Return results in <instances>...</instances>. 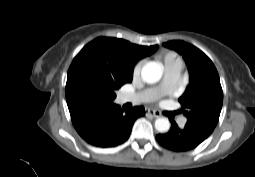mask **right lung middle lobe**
Instances as JSON below:
<instances>
[{"label": "right lung middle lobe", "mask_w": 255, "mask_h": 177, "mask_svg": "<svg viewBox=\"0 0 255 177\" xmlns=\"http://www.w3.org/2000/svg\"><path fill=\"white\" fill-rule=\"evenodd\" d=\"M132 78L120 61L84 47L68 70L66 89L79 92L92 101L113 102L115 92Z\"/></svg>", "instance_id": "1"}]
</instances>
